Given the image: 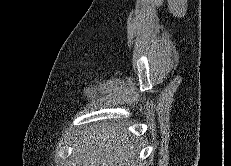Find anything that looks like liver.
Instances as JSON below:
<instances>
[{"instance_id":"obj_1","label":"liver","mask_w":231,"mask_h":166,"mask_svg":"<svg viewBox=\"0 0 231 166\" xmlns=\"http://www.w3.org/2000/svg\"><path fill=\"white\" fill-rule=\"evenodd\" d=\"M78 166H138L137 141L118 123H100L82 131L73 143Z\"/></svg>"}]
</instances>
